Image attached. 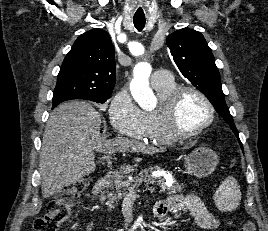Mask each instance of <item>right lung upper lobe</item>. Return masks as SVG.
<instances>
[{"instance_id":"cb5924a9","label":"right lung upper lobe","mask_w":268,"mask_h":231,"mask_svg":"<svg viewBox=\"0 0 268 231\" xmlns=\"http://www.w3.org/2000/svg\"><path fill=\"white\" fill-rule=\"evenodd\" d=\"M116 82L114 47L103 29L80 35L67 53L55 91H63L59 104L71 99L110 97Z\"/></svg>"}]
</instances>
